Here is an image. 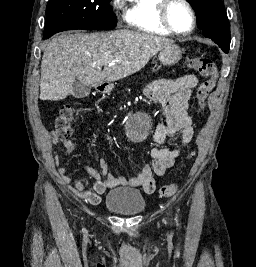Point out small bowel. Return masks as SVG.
<instances>
[{
    "label": "small bowel",
    "instance_id": "c3829d8e",
    "mask_svg": "<svg viewBox=\"0 0 256 267\" xmlns=\"http://www.w3.org/2000/svg\"><path fill=\"white\" fill-rule=\"evenodd\" d=\"M197 85L198 78L195 75L184 74L174 79L155 80L143 88L142 94L159 102L166 116V120L159 122L155 128L154 139L156 143L164 147L151 149L152 166L142 165L137 169L133 178L126 179L110 171L106 160L99 159V171L85 167L86 172L94 179L92 190H87L80 182H72L67 175L66 168L61 165L62 158L56 155L55 163L59 183L68 188L73 195L92 205H98L101 202V195L108 189L121 186L140 187L148 194L154 193L157 189V178L163 176L174 165L181 151L193 139L194 127L187 109ZM179 133H181V144L172 148L170 142ZM51 139L53 143H56L57 134L53 133ZM64 147L65 157H67L76 150L77 142L68 140L64 143Z\"/></svg>",
    "mask_w": 256,
    "mask_h": 267
}]
</instances>
